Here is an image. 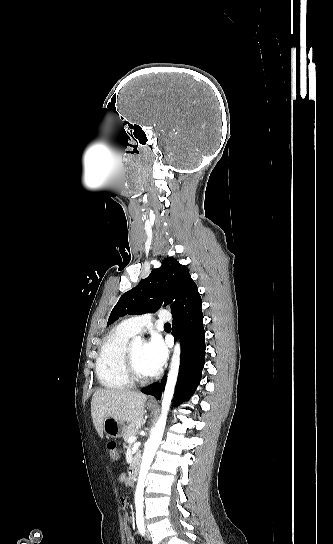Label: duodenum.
Returning <instances> with one entry per match:
<instances>
[{
    "label": "duodenum",
    "mask_w": 333,
    "mask_h": 544,
    "mask_svg": "<svg viewBox=\"0 0 333 544\" xmlns=\"http://www.w3.org/2000/svg\"><path fill=\"white\" fill-rule=\"evenodd\" d=\"M128 473L131 479H135L139 473V464L137 462L131 463Z\"/></svg>",
    "instance_id": "duodenum-1"
}]
</instances>
